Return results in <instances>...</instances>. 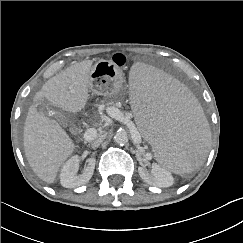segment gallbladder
I'll return each instance as SVG.
<instances>
[{
	"instance_id": "1",
	"label": "gallbladder",
	"mask_w": 243,
	"mask_h": 243,
	"mask_svg": "<svg viewBox=\"0 0 243 243\" xmlns=\"http://www.w3.org/2000/svg\"><path fill=\"white\" fill-rule=\"evenodd\" d=\"M35 106L38 112L46 114L51 120H57L63 127L67 126V115L60 112L50 103L38 102Z\"/></svg>"
}]
</instances>
